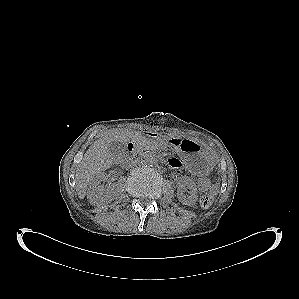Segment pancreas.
<instances>
[{"mask_svg": "<svg viewBox=\"0 0 299 299\" xmlns=\"http://www.w3.org/2000/svg\"><path fill=\"white\" fill-rule=\"evenodd\" d=\"M138 147L145 149L149 147H156V143L146 137H139L136 141Z\"/></svg>", "mask_w": 299, "mask_h": 299, "instance_id": "1", "label": "pancreas"}]
</instances>
